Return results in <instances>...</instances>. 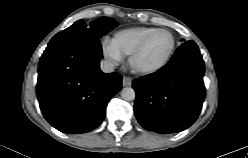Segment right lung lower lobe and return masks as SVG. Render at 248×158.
I'll return each instance as SVG.
<instances>
[{
	"mask_svg": "<svg viewBox=\"0 0 248 158\" xmlns=\"http://www.w3.org/2000/svg\"><path fill=\"white\" fill-rule=\"evenodd\" d=\"M98 38L54 36L38 69L37 97L45 119L64 133H84L103 121L122 76L100 70Z\"/></svg>",
	"mask_w": 248,
	"mask_h": 158,
	"instance_id": "1",
	"label": "right lung lower lobe"
}]
</instances>
